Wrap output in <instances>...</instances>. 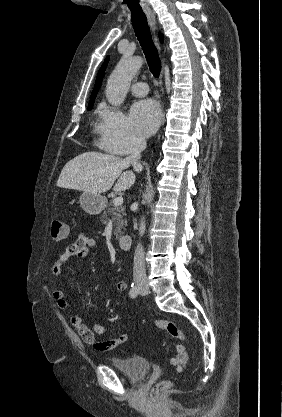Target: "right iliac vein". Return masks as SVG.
I'll use <instances>...</instances> for the list:
<instances>
[{"label": "right iliac vein", "instance_id": "63e3f726", "mask_svg": "<svg viewBox=\"0 0 282 417\" xmlns=\"http://www.w3.org/2000/svg\"><path fill=\"white\" fill-rule=\"evenodd\" d=\"M144 287V285H139V289H142Z\"/></svg>", "mask_w": 282, "mask_h": 417}]
</instances>
